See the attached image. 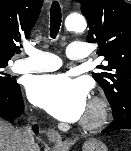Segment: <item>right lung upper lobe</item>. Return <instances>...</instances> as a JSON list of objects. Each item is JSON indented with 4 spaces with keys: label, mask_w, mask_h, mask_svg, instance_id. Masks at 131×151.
<instances>
[{
    "label": "right lung upper lobe",
    "mask_w": 131,
    "mask_h": 151,
    "mask_svg": "<svg viewBox=\"0 0 131 151\" xmlns=\"http://www.w3.org/2000/svg\"><path fill=\"white\" fill-rule=\"evenodd\" d=\"M43 0H0V63H7L19 50L21 38L29 37Z\"/></svg>",
    "instance_id": "1"
}]
</instances>
